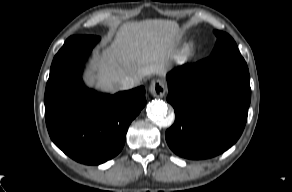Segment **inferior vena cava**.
<instances>
[{
  "mask_svg": "<svg viewBox=\"0 0 292 192\" xmlns=\"http://www.w3.org/2000/svg\"><path fill=\"white\" fill-rule=\"evenodd\" d=\"M120 84H121V89L128 90L135 86V80L134 78L130 76H126L120 81Z\"/></svg>",
  "mask_w": 292,
  "mask_h": 192,
  "instance_id": "1",
  "label": "inferior vena cava"
}]
</instances>
